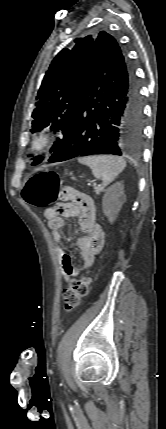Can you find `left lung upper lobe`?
<instances>
[{
    "label": "left lung upper lobe",
    "instance_id": "obj_1",
    "mask_svg": "<svg viewBox=\"0 0 166 429\" xmlns=\"http://www.w3.org/2000/svg\"><path fill=\"white\" fill-rule=\"evenodd\" d=\"M98 35L77 38L72 47L62 49L53 59L36 97L33 132L52 124L51 128L55 127L62 135L66 133L90 75ZM60 142L57 139L50 152H54ZM42 159L35 157L33 165Z\"/></svg>",
    "mask_w": 166,
    "mask_h": 429
}]
</instances>
